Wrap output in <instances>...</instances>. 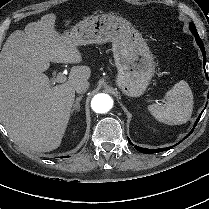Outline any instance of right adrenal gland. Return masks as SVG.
I'll list each match as a JSON object with an SVG mask.
<instances>
[{
	"label": "right adrenal gland",
	"instance_id": "obj_1",
	"mask_svg": "<svg viewBox=\"0 0 209 209\" xmlns=\"http://www.w3.org/2000/svg\"><path fill=\"white\" fill-rule=\"evenodd\" d=\"M83 96H79L76 98L75 103L73 104V107L71 109V113L74 111L78 112L80 110V101L82 100Z\"/></svg>",
	"mask_w": 209,
	"mask_h": 209
}]
</instances>
